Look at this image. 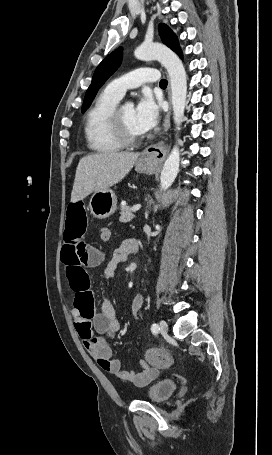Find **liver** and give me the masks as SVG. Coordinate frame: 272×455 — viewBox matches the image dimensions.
Returning <instances> with one entry per match:
<instances>
[{"instance_id": "1", "label": "liver", "mask_w": 272, "mask_h": 455, "mask_svg": "<svg viewBox=\"0 0 272 455\" xmlns=\"http://www.w3.org/2000/svg\"><path fill=\"white\" fill-rule=\"evenodd\" d=\"M140 153L113 152L83 157L77 166L71 201L83 200L120 182L132 169Z\"/></svg>"}]
</instances>
